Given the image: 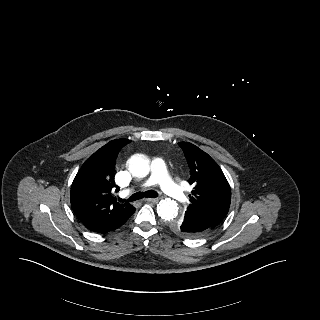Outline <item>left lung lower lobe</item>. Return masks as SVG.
Here are the masks:
<instances>
[{
    "label": "left lung lower lobe",
    "mask_w": 320,
    "mask_h": 320,
    "mask_svg": "<svg viewBox=\"0 0 320 320\" xmlns=\"http://www.w3.org/2000/svg\"><path fill=\"white\" fill-rule=\"evenodd\" d=\"M170 228L189 238H197L214 229L193 214H185L183 218L180 219L178 229L173 227L172 222L170 223Z\"/></svg>",
    "instance_id": "1"
}]
</instances>
